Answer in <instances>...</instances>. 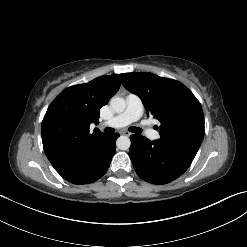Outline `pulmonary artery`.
I'll return each mask as SVG.
<instances>
[{
    "instance_id": "obj_1",
    "label": "pulmonary artery",
    "mask_w": 247,
    "mask_h": 247,
    "mask_svg": "<svg viewBox=\"0 0 247 247\" xmlns=\"http://www.w3.org/2000/svg\"><path fill=\"white\" fill-rule=\"evenodd\" d=\"M144 106L142 100L136 94L130 93L126 96L125 110L104 123L106 126L121 128L139 120L143 114ZM146 135L150 139H157L158 132L148 129Z\"/></svg>"
}]
</instances>
